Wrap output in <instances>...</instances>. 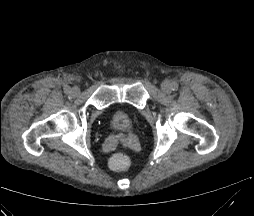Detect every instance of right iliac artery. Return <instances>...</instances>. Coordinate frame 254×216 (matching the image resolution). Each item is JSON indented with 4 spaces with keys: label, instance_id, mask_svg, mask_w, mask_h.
<instances>
[{
    "label": "right iliac artery",
    "instance_id": "1",
    "mask_svg": "<svg viewBox=\"0 0 254 216\" xmlns=\"http://www.w3.org/2000/svg\"><path fill=\"white\" fill-rule=\"evenodd\" d=\"M64 92H65L66 94H70V93H71L70 87H66V88L64 89Z\"/></svg>",
    "mask_w": 254,
    "mask_h": 216
}]
</instances>
